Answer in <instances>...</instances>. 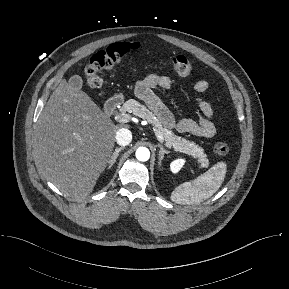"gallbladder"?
I'll list each match as a JSON object with an SVG mask.
<instances>
[{
	"label": "gallbladder",
	"instance_id": "1",
	"mask_svg": "<svg viewBox=\"0 0 289 289\" xmlns=\"http://www.w3.org/2000/svg\"><path fill=\"white\" fill-rule=\"evenodd\" d=\"M69 83H70L74 88L81 89L83 81H82V78H81L80 76L74 75V76L70 77Z\"/></svg>",
	"mask_w": 289,
	"mask_h": 289
}]
</instances>
